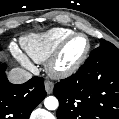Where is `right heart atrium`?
<instances>
[{
  "label": "right heart atrium",
  "instance_id": "right-heart-atrium-1",
  "mask_svg": "<svg viewBox=\"0 0 119 119\" xmlns=\"http://www.w3.org/2000/svg\"><path fill=\"white\" fill-rule=\"evenodd\" d=\"M14 51L16 55L19 57V59L22 61V63L25 66L29 67L31 64L30 61L17 48H15Z\"/></svg>",
  "mask_w": 119,
  "mask_h": 119
}]
</instances>
